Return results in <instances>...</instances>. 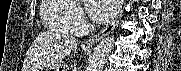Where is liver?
<instances>
[{
  "label": "liver",
  "mask_w": 181,
  "mask_h": 71,
  "mask_svg": "<svg viewBox=\"0 0 181 71\" xmlns=\"http://www.w3.org/2000/svg\"><path fill=\"white\" fill-rule=\"evenodd\" d=\"M77 47L75 38L58 33H42L34 41L26 60L25 71H39L61 62Z\"/></svg>",
  "instance_id": "obj_1"
}]
</instances>
